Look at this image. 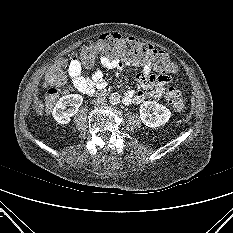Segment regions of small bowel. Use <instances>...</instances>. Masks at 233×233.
<instances>
[{
    "label": "small bowel",
    "mask_w": 233,
    "mask_h": 233,
    "mask_svg": "<svg viewBox=\"0 0 233 233\" xmlns=\"http://www.w3.org/2000/svg\"><path fill=\"white\" fill-rule=\"evenodd\" d=\"M100 62L105 68L114 70L117 75L125 66L140 68L136 78L144 90L128 91L124 98L126 104H139L146 98H161L165 93L166 85L171 83L173 79L170 74L159 72L151 61L126 60L102 53L100 54ZM154 71L158 73L154 74ZM68 74L73 86L86 95H93L97 90H102L107 85L100 70H95L91 76L82 75L81 62L76 55L68 66Z\"/></svg>",
    "instance_id": "c3829d8e"
}]
</instances>
